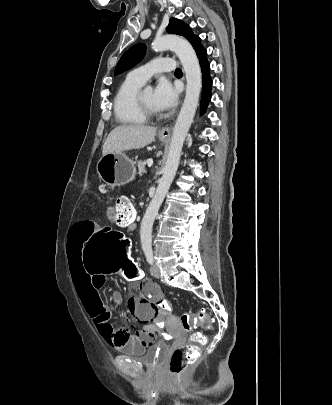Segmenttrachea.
Segmentation results:
<instances>
[{"label":"trachea","mask_w":332,"mask_h":405,"mask_svg":"<svg viewBox=\"0 0 332 405\" xmlns=\"http://www.w3.org/2000/svg\"><path fill=\"white\" fill-rule=\"evenodd\" d=\"M175 74H182L181 69L177 68V69L175 70Z\"/></svg>","instance_id":"3493384b"}]
</instances>
